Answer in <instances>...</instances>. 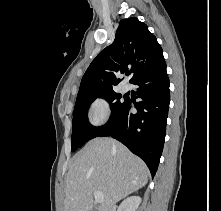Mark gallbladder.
Returning a JSON list of instances; mask_svg holds the SVG:
<instances>
[{"mask_svg": "<svg viewBox=\"0 0 221 211\" xmlns=\"http://www.w3.org/2000/svg\"><path fill=\"white\" fill-rule=\"evenodd\" d=\"M93 211H98V209H94Z\"/></svg>", "mask_w": 221, "mask_h": 211, "instance_id": "gallbladder-1", "label": "gallbladder"}]
</instances>
